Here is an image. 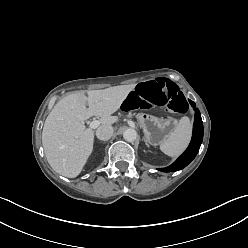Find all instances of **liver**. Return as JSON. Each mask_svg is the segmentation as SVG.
Segmentation results:
<instances>
[{"label": "liver", "instance_id": "obj_1", "mask_svg": "<svg viewBox=\"0 0 248 248\" xmlns=\"http://www.w3.org/2000/svg\"><path fill=\"white\" fill-rule=\"evenodd\" d=\"M134 88L135 84H130L90 90L87 96L85 91H76L54 106L42 131L45 156L54 171L68 178L81 173L94 143V131L87 129L84 121L97 116L101 126L117 122L118 118L111 115Z\"/></svg>", "mask_w": 248, "mask_h": 248}]
</instances>
